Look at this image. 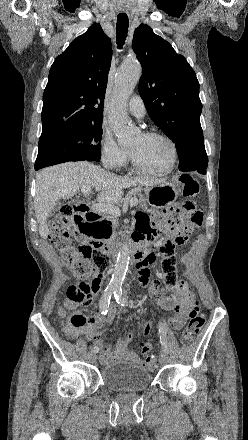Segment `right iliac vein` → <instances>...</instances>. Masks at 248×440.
Wrapping results in <instances>:
<instances>
[{
    "label": "right iliac vein",
    "mask_w": 248,
    "mask_h": 440,
    "mask_svg": "<svg viewBox=\"0 0 248 440\" xmlns=\"http://www.w3.org/2000/svg\"><path fill=\"white\" fill-rule=\"evenodd\" d=\"M96 358H97L96 353L93 352V353L90 355V360H91L92 362H95V361H96Z\"/></svg>",
    "instance_id": "obj_1"
}]
</instances>
